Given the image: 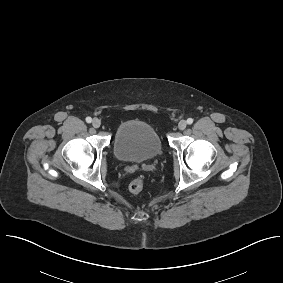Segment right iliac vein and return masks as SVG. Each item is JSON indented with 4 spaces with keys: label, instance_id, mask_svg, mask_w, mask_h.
<instances>
[{
    "label": "right iliac vein",
    "instance_id": "right-iliac-vein-1",
    "mask_svg": "<svg viewBox=\"0 0 283 283\" xmlns=\"http://www.w3.org/2000/svg\"><path fill=\"white\" fill-rule=\"evenodd\" d=\"M92 125H93L94 128H99L100 125H101V122H100L99 119L95 118V119H93V121H92Z\"/></svg>",
    "mask_w": 283,
    "mask_h": 283
}]
</instances>
